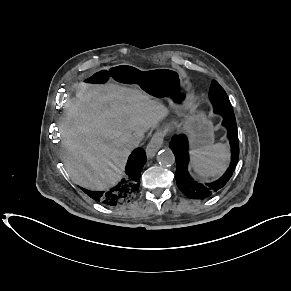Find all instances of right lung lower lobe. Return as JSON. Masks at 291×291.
Wrapping results in <instances>:
<instances>
[{
    "label": "right lung lower lobe",
    "instance_id": "1",
    "mask_svg": "<svg viewBox=\"0 0 291 291\" xmlns=\"http://www.w3.org/2000/svg\"><path fill=\"white\" fill-rule=\"evenodd\" d=\"M146 159L145 151L142 148H137L129 156L125 167V176L117 186L101 192L81 189L90 198L106 206H117L129 202L139 192L140 174Z\"/></svg>",
    "mask_w": 291,
    "mask_h": 291
}]
</instances>
